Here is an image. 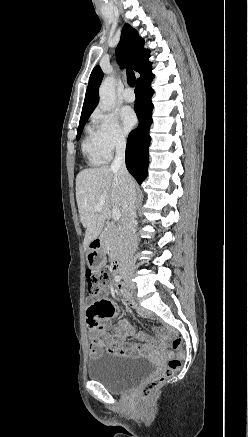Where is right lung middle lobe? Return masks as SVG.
Returning <instances> with one entry per match:
<instances>
[{"mask_svg": "<svg viewBox=\"0 0 248 437\" xmlns=\"http://www.w3.org/2000/svg\"><path fill=\"white\" fill-rule=\"evenodd\" d=\"M88 118L89 117H86L80 121L78 131H77V140H79L81 133H82V130H83V127H84L86 121L88 120Z\"/></svg>", "mask_w": 248, "mask_h": 437, "instance_id": "right-lung-middle-lobe-1", "label": "right lung middle lobe"}]
</instances>
